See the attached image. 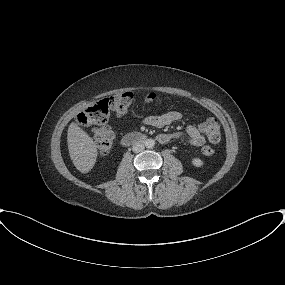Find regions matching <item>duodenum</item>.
<instances>
[{
	"label": "duodenum",
	"instance_id": "1",
	"mask_svg": "<svg viewBox=\"0 0 285 285\" xmlns=\"http://www.w3.org/2000/svg\"><path fill=\"white\" fill-rule=\"evenodd\" d=\"M146 136L142 133L132 132L124 135L121 138L122 146H130L133 144H137L146 140Z\"/></svg>",
	"mask_w": 285,
	"mask_h": 285
}]
</instances>
